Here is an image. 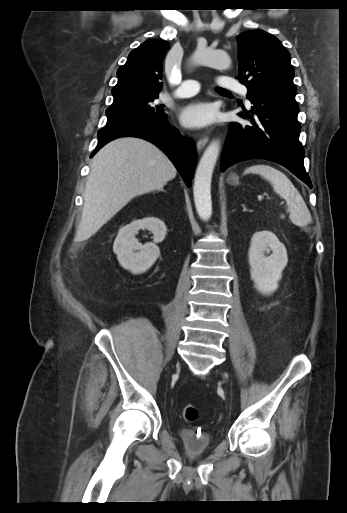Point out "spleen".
I'll return each instance as SVG.
<instances>
[{
    "label": "spleen",
    "mask_w": 347,
    "mask_h": 513,
    "mask_svg": "<svg viewBox=\"0 0 347 513\" xmlns=\"http://www.w3.org/2000/svg\"><path fill=\"white\" fill-rule=\"evenodd\" d=\"M259 174L269 181L273 190L279 194L288 205L290 220L300 227H305L311 221V214L305 201L291 180L277 168L268 164H256L245 170V174Z\"/></svg>",
    "instance_id": "obj_1"
}]
</instances>
